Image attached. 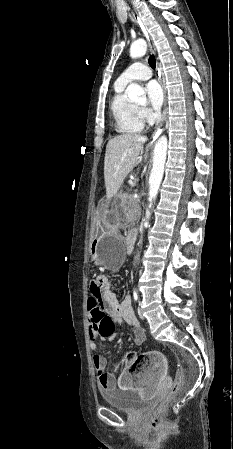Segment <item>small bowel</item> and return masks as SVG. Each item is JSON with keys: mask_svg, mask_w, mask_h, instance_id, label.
<instances>
[{"mask_svg": "<svg viewBox=\"0 0 233 449\" xmlns=\"http://www.w3.org/2000/svg\"><path fill=\"white\" fill-rule=\"evenodd\" d=\"M112 281L110 274H93L89 280V289L93 301H100L102 308L106 307V314H109L113 324L127 323L132 327L134 342L141 345L145 340V331L134 315L130 295H125L121 301L111 290ZM91 339L90 348L94 352L93 364L98 375L100 389H110L115 384V376L106 370L107 360L98 353L96 340L99 334H94L93 328L89 329ZM113 341L115 338H104ZM132 354H126L124 359H128ZM166 354H149L148 368H142L141 375H128L124 369L117 379V383L123 386L124 382L130 384L131 390H135V399H156L157 394L162 393L163 378L167 376Z\"/></svg>", "mask_w": 233, "mask_h": 449, "instance_id": "small-bowel-1", "label": "small bowel"}]
</instances>
